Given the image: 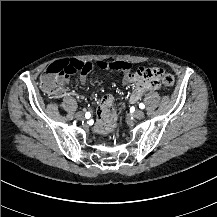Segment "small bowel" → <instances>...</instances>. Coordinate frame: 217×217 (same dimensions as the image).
I'll list each match as a JSON object with an SVG mask.
<instances>
[{
	"label": "small bowel",
	"mask_w": 217,
	"mask_h": 217,
	"mask_svg": "<svg viewBox=\"0 0 217 217\" xmlns=\"http://www.w3.org/2000/svg\"><path fill=\"white\" fill-rule=\"evenodd\" d=\"M86 80L85 75H81L80 81L83 83ZM67 82L66 78H60L59 83L61 84L60 91H66L64 85ZM122 83L124 86L137 83L128 96V101L131 104L136 103L142 95L149 96L152 93V87L149 84H144L143 86L139 84L134 74L130 71H126ZM114 102V97L111 94H103L99 101L97 102V109L95 111V116L98 119L96 122L97 129L95 131H100L102 133L112 134L118 127L119 122L115 118L116 111L111 106Z\"/></svg>",
	"instance_id": "1"
}]
</instances>
